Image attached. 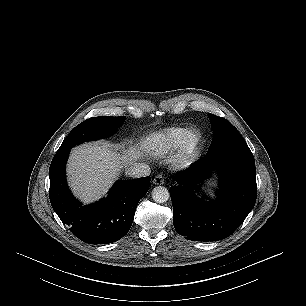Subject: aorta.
<instances>
[{
  "label": "aorta",
  "mask_w": 306,
  "mask_h": 306,
  "mask_svg": "<svg viewBox=\"0 0 306 306\" xmlns=\"http://www.w3.org/2000/svg\"><path fill=\"white\" fill-rule=\"evenodd\" d=\"M169 196L168 189L163 186H157L152 191V198L156 203H165Z\"/></svg>",
  "instance_id": "obj_1"
}]
</instances>
